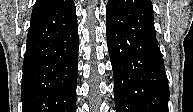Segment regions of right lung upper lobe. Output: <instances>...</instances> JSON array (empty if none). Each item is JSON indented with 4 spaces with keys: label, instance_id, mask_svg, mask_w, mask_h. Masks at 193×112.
<instances>
[{
    "label": "right lung upper lobe",
    "instance_id": "1",
    "mask_svg": "<svg viewBox=\"0 0 193 112\" xmlns=\"http://www.w3.org/2000/svg\"><path fill=\"white\" fill-rule=\"evenodd\" d=\"M54 0H36V3L33 7L32 12L37 11L41 8L46 7L47 5H49L50 3H52Z\"/></svg>",
    "mask_w": 193,
    "mask_h": 112
}]
</instances>
